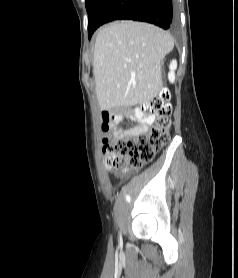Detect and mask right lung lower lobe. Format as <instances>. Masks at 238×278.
<instances>
[{
	"mask_svg": "<svg viewBox=\"0 0 238 278\" xmlns=\"http://www.w3.org/2000/svg\"><path fill=\"white\" fill-rule=\"evenodd\" d=\"M116 19L149 22L163 29L176 25L172 0H96L88 11V37L102 24Z\"/></svg>",
	"mask_w": 238,
	"mask_h": 278,
	"instance_id": "obj_1",
	"label": "right lung lower lobe"
}]
</instances>
